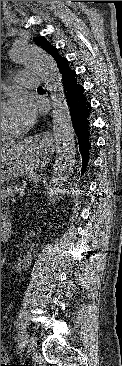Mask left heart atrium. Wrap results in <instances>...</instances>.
<instances>
[{
    "mask_svg": "<svg viewBox=\"0 0 122 366\" xmlns=\"http://www.w3.org/2000/svg\"><path fill=\"white\" fill-rule=\"evenodd\" d=\"M9 110L16 120L19 131L29 128L36 117L34 102L23 93H16L13 96Z\"/></svg>",
    "mask_w": 122,
    "mask_h": 366,
    "instance_id": "left-heart-atrium-1",
    "label": "left heart atrium"
}]
</instances>
